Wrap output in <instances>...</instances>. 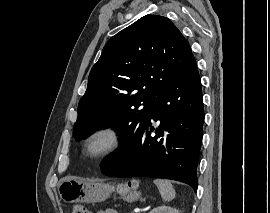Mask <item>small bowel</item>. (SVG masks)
Returning <instances> with one entry per match:
<instances>
[{
	"label": "small bowel",
	"mask_w": 270,
	"mask_h": 213,
	"mask_svg": "<svg viewBox=\"0 0 270 213\" xmlns=\"http://www.w3.org/2000/svg\"><path fill=\"white\" fill-rule=\"evenodd\" d=\"M97 213H118L115 209L107 208L105 210L98 211Z\"/></svg>",
	"instance_id": "obj_1"
}]
</instances>
